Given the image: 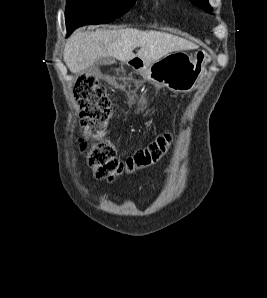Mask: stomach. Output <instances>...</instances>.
Listing matches in <instances>:
<instances>
[{"mask_svg": "<svg viewBox=\"0 0 267 298\" xmlns=\"http://www.w3.org/2000/svg\"><path fill=\"white\" fill-rule=\"evenodd\" d=\"M210 61V54L203 50L193 56L175 52L153 63L139 59L137 70L154 85L165 86L175 93H188L206 76Z\"/></svg>", "mask_w": 267, "mask_h": 298, "instance_id": "1", "label": "stomach"}]
</instances>
